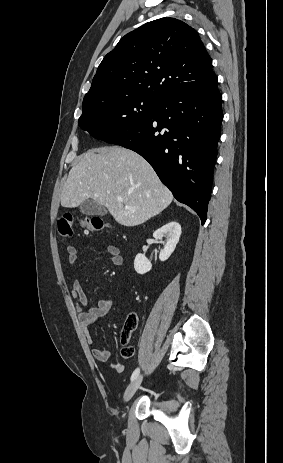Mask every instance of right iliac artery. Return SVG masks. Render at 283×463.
<instances>
[{
	"instance_id": "right-iliac-artery-1",
	"label": "right iliac artery",
	"mask_w": 283,
	"mask_h": 463,
	"mask_svg": "<svg viewBox=\"0 0 283 463\" xmlns=\"http://www.w3.org/2000/svg\"><path fill=\"white\" fill-rule=\"evenodd\" d=\"M139 372H140V369H139V368H137V369L133 372V374H132V376H131V381L135 380V379L138 377Z\"/></svg>"
}]
</instances>
